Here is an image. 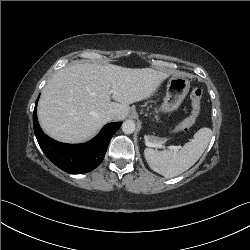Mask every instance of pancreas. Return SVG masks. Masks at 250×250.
<instances>
[{"label": "pancreas", "mask_w": 250, "mask_h": 250, "mask_svg": "<svg viewBox=\"0 0 250 250\" xmlns=\"http://www.w3.org/2000/svg\"><path fill=\"white\" fill-rule=\"evenodd\" d=\"M149 140H150V142H152V143H163L162 140H160L158 137H154V136H151V137L149 138Z\"/></svg>", "instance_id": "pancreas-1"}]
</instances>
